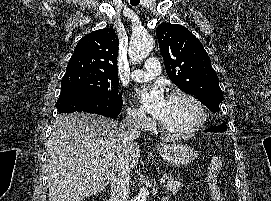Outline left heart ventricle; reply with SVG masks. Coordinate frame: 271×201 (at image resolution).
<instances>
[{"instance_id":"left-heart-ventricle-1","label":"left heart ventricle","mask_w":271,"mask_h":201,"mask_svg":"<svg viewBox=\"0 0 271 201\" xmlns=\"http://www.w3.org/2000/svg\"><path fill=\"white\" fill-rule=\"evenodd\" d=\"M198 120L195 106L183 98H167L163 116L159 121L171 130H185Z\"/></svg>"}]
</instances>
